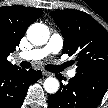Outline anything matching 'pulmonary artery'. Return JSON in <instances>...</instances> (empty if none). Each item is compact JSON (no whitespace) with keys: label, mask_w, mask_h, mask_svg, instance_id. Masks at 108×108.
I'll return each mask as SVG.
<instances>
[{"label":"pulmonary artery","mask_w":108,"mask_h":108,"mask_svg":"<svg viewBox=\"0 0 108 108\" xmlns=\"http://www.w3.org/2000/svg\"><path fill=\"white\" fill-rule=\"evenodd\" d=\"M63 46V40L59 34H53L47 43L46 46L40 49H34L28 52H24L20 55L22 59L25 60H40L46 57L50 54H57L62 49ZM69 77H74L76 74V71L74 69H71L68 71Z\"/></svg>","instance_id":"pulmonary-artery-1"}]
</instances>
